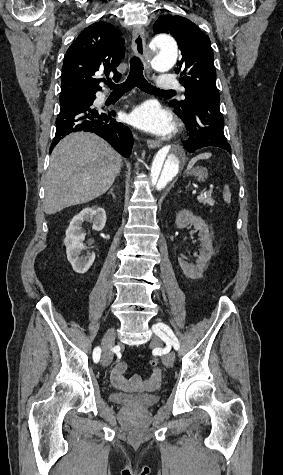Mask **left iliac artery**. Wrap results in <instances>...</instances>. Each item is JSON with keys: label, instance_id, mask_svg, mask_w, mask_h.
<instances>
[{"label": "left iliac artery", "instance_id": "44dca946", "mask_svg": "<svg viewBox=\"0 0 283 475\" xmlns=\"http://www.w3.org/2000/svg\"><path fill=\"white\" fill-rule=\"evenodd\" d=\"M157 326H158L161 330L165 331V332L170 336L171 342H172V344H173L174 349H175V350H178L179 347H180L179 341H178L177 337L175 336V334L173 333V331L170 329V327L167 326V325H165V324H163V323H158ZM154 332H155L157 335H160V333L157 331V329H154ZM162 338H163V340H168V339L165 338V337H162Z\"/></svg>", "mask_w": 283, "mask_h": 475}]
</instances>
